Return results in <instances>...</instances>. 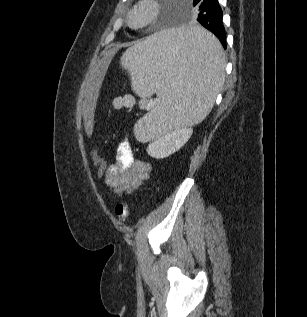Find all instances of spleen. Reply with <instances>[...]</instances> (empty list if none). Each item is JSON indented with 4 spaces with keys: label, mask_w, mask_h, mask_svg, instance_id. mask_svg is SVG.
I'll return each mask as SVG.
<instances>
[{
    "label": "spleen",
    "mask_w": 307,
    "mask_h": 317,
    "mask_svg": "<svg viewBox=\"0 0 307 317\" xmlns=\"http://www.w3.org/2000/svg\"><path fill=\"white\" fill-rule=\"evenodd\" d=\"M121 65L142 97L156 93L154 109L135 125L139 141L195 125L210 113L225 78L220 42L205 26H176L149 33L130 47Z\"/></svg>",
    "instance_id": "1"
}]
</instances>
